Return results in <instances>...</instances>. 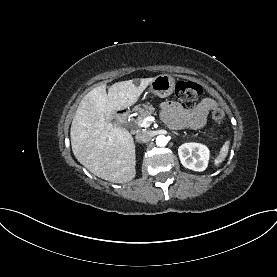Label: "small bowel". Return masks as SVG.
<instances>
[{"label": "small bowel", "instance_id": "1", "mask_svg": "<svg viewBox=\"0 0 277 277\" xmlns=\"http://www.w3.org/2000/svg\"><path fill=\"white\" fill-rule=\"evenodd\" d=\"M216 107V101L211 98L203 99L193 109H188L176 101H166L161 105V116L170 128L199 129L205 125L209 112Z\"/></svg>", "mask_w": 277, "mask_h": 277}]
</instances>
